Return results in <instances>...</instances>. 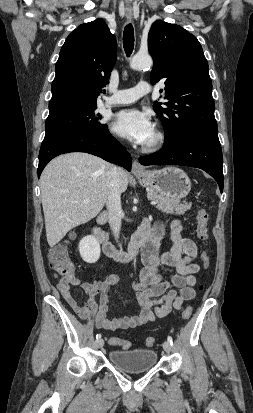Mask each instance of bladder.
Wrapping results in <instances>:
<instances>
[{
	"label": "bladder",
	"mask_w": 253,
	"mask_h": 413,
	"mask_svg": "<svg viewBox=\"0 0 253 413\" xmlns=\"http://www.w3.org/2000/svg\"><path fill=\"white\" fill-rule=\"evenodd\" d=\"M109 361L124 372L141 373L155 366L157 353L148 348L112 350L109 353Z\"/></svg>",
	"instance_id": "31cf9c89"
}]
</instances>
